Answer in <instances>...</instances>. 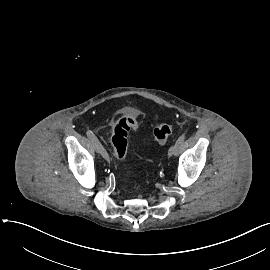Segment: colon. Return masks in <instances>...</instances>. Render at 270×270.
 <instances>
[{
  "instance_id": "obj_1",
  "label": "colon",
  "mask_w": 270,
  "mask_h": 270,
  "mask_svg": "<svg viewBox=\"0 0 270 270\" xmlns=\"http://www.w3.org/2000/svg\"><path fill=\"white\" fill-rule=\"evenodd\" d=\"M139 128L138 120L132 116H120L111 126V141L115 156L119 162H125L128 153V134ZM173 126L166 121L158 123L153 129V141L163 144L172 134Z\"/></svg>"
}]
</instances>
